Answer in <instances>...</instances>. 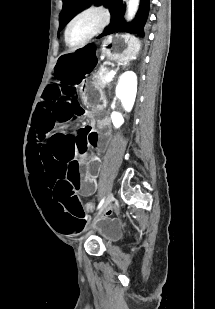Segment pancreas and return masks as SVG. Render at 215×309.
I'll list each match as a JSON object with an SVG mask.
<instances>
[{
    "mask_svg": "<svg viewBox=\"0 0 215 309\" xmlns=\"http://www.w3.org/2000/svg\"><path fill=\"white\" fill-rule=\"evenodd\" d=\"M109 72V68H105V70H97L96 78L100 84V86H108L110 84V80H105L107 74Z\"/></svg>",
    "mask_w": 215,
    "mask_h": 309,
    "instance_id": "pancreas-1",
    "label": "pancreas"
}]
</instances>
